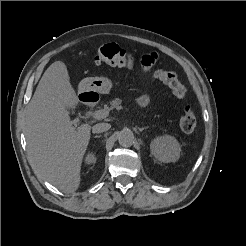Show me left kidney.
<instances>
[{
  "mask_svg": "<svg viewBox=\"0 0 246 246\" xmlns=\"http://www.w3.org/2000/svg\"><path fill=\"white\" fill-rule=\"evenodd\" d=\"M150 150L157 160L164 163L177 161L181 153L178 141L170 135L156 137L150 144Z\"/></svg>",
  "mask_w": 246,
  "mask_h": 246,
  "instance_id": "obj_1",
  "label": "left kidney"
}]
</instances>
